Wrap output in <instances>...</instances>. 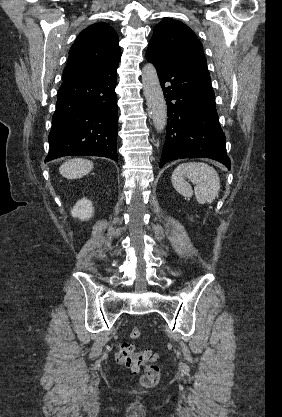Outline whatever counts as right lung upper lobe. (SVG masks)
Here are the masks:
<instances>
[{"mask_svg": "<svg viewBox=\"0 0 282 417\" xmlns=\"http://www.w3.org/2000/svg\"><path fill=\"white\" fill-rule=\"evenodd\" d=\"M118 43L117 33L107 23H95L84 29L69 51L62 81L118 65L121 58Z\"/></svg>", "mask_w": 282, "mask_h": 417, "instance_id": "obj_1", "label": "right lung upper lobe"}]
</instances>
